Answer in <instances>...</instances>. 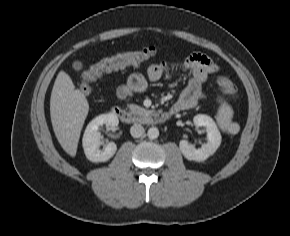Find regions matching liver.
Returning a JSON list of instances; mask_svg holds the SVG:
<instances>
[{"label": "liver", "instance_id": "liver-1", "mask_svg": "<svg viewBox=\"0 0 290 236\" xmlns=\"http://www.w3.org/2000/svg\"><path fill=\"white\" fill-rule=\"evenodd\" d=\"M89 111L85 95L75 86L70 76L60 71L50 98V117L55 136L66 153L74 157L81 130Z\"/></svg>", "mask_w": 290, "mask_h": 236}]
</instances>
